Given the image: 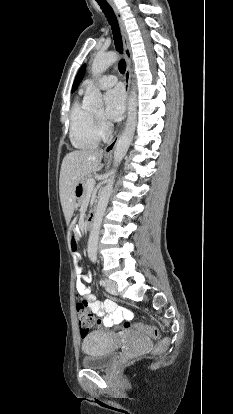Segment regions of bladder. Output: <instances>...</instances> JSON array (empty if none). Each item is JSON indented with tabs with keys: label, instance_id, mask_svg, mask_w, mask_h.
<instances>
[{
	"label": "bladder",
	"instance_id": "bladder-1",
	"mask_svg": "<svg viewBox=\"0 0 233 414\" xmlns=\"http://www.w3.org/2000/svg\"><path fill=\"white\" fill-rule=\"evenodd\" d=\"M142 343L149 345L146 339H140ZM115 336L104 331H92L85 335L82 342V350L85 356L81 365L85 369H107L115 359Z\"/></svg>",
	"mask_w": 233,
	"mask_h": 414
}]
</instances>
